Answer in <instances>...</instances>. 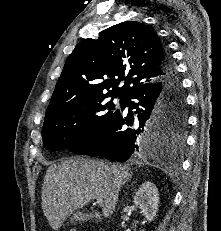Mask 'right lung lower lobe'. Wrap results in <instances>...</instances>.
I'll use <instances>...</instances> for the list:
<instances>
[{"instance_id":"right-lung-lower-lobe-1","label":"right lung lower lobe","mask_w":221,"mask_h":231,"mask_svg":"<svg viewBox=\"0 0 221 231\" xmlns=\"http://www.w3.org/2000/svg\"><path fill=\"white\" fill-rule=\"evenodd\" d=\"M161 81L142 86L124 98L122 109L100 132L69 150L81 155H95L112 161L125 162L129 158L151 156L162 152L164 139L151 127L159 102L169 98L185 103L182 85L170 54L165 49L161 65ZM131 109H135V116Z\"/></svg>"}]
</instances>
